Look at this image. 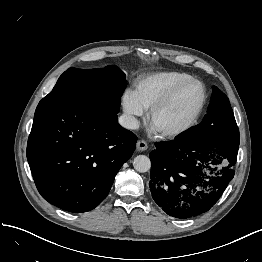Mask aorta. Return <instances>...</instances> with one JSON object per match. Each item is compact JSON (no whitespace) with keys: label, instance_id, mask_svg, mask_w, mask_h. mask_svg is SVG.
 Masks as SVG:
<instances>
[{"label":"aorta","instance_id":"762f6f07","mask_svg":"<svg viewBox=\"0 0 262 262\" xmlns=\"http://www.w3.org/2000/svg\"><path fill=\"white\" fill-rule=\"evenodd\" d=\"M133 166L136 171L144 173L149 171V169L151 168V161L149 157L145 155H138L134 158Z\"/></svg>","mask_w":262,"mask_h":262}]
</instances>
